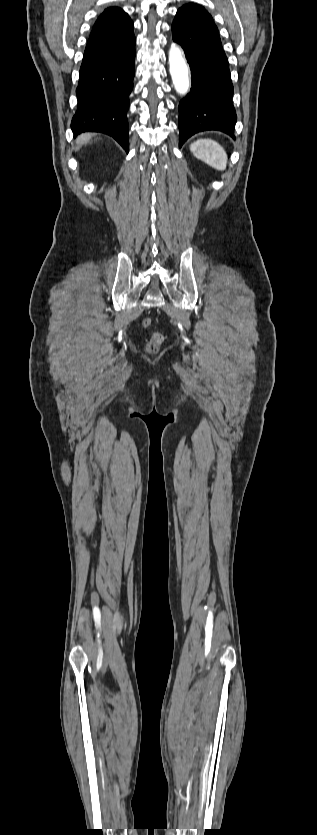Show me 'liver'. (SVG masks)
Returning a JSON list of instances; mask_svg holds the SVG:
<instances>
[{
	"instance_id": "liver-1",
	"label": "liver",
	"mask_w": 317,
	"mask_h": 835,
	"mask_svg": "<svg viewBox=\"0 0 317 835\" xmlns=\"http://www.w3.org/2000/svg\"><path fill=\"white\" fill-rule=\"evenodd\" d=\"M91 139H92V134H89V133L81 134L80 136L77 137L76 143L78 145H81V146L84 145V144L86 145L88 142H90Z\"/></svg>"
}]
</instances>
